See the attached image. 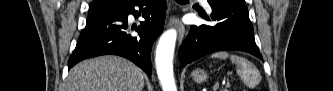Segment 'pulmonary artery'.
<instances>
[{
  "label": "pulmonary artery",
  "mask_w": 333,
  "mask_h": 91,
  "mask_svg": "<svg viewBox=\"0 0 333 91\" xmlns=\"http://www.w3.org/2000/svg\"><path fill=\"white\" fill-rule=\"evenodd\" d=\"M202 2L205 3L207 9H208L209 11H211L210 6L207 4V1H206V0H203Z\"/></svg>",
  "instance_id": "pulmonary-artery-1"
}]
</instances>
